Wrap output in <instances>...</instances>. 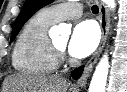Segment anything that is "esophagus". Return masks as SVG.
Returning a JSON list of instances; mask_svg holds the SVG:
<instances>
[{"label":"esophagus","instance_id":"obj_1","mask_svg":"<svg viewBox=\"0 0 127 92\" xmlns=\"http://www.w3.org/2000/svg\"><path fill=\"white\" fill-rule=\"evenodd\" d=\"M100 25H101V30H102V37H101V42L99 44L98 49L95 51V53L92 55V57L87 61L84 67V71L82 76L77 82L78 87H83L86 85L87 79L93 70L94 65L96 64L101 51L104 47L108 32H109V11L107 6L101 2L100 4Z\"/></svg>","mask_w":127,"mask_h":92}]
</instances>
